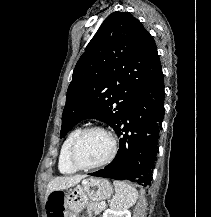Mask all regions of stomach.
<instances>
[{"mask_svg":"<svg viewBox=\"0 0 211 217\" xmlns=\"http://www.w3.org/2000/svg\"><path fill=\"white\" fill-rule=\"evenodd\" d=\"M113 188L105 178H88L66 193L64 217H77L90 203L104 200L111 196Z\"/></svg>","mask_w":211,"mask_h":217,"instance_id":"1","label":"stomach"}]
</instances>
